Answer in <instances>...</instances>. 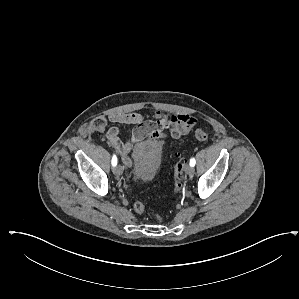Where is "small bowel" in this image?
Wrapping results in <instances>:
<instances>
[{"mask_svg":"<svg viewBox=\"0 0 299 299\" xmlns=\"http://www.w3.org/2000/svg\"><path fill=\"white\" fill-rule=\"evenodd\" d=\"M156 121L144 124L143 117L139 113H113L108 116L112 123L135 125L129 139L119 137V129L113 126L107 133V140L122 157L123 163L131 167L132 162L129 153L135 143L143 140H151L160 150L168 137L180 139L189 134L197 124V117L192 114H164L157 111Z\"/></svg>","mask_w":299,"mask_h":299,"instance_id":"obj_1","label":"small bowel"}]
</instances>
